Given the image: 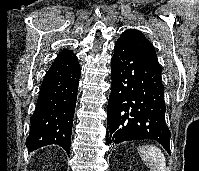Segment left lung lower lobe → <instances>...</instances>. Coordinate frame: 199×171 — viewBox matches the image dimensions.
<instances>
[{"instance_id":"obj_1","label":"left lung lower lobe","mask_w":199,"mask_h":171,"mask_svg":"<svg viewBox=\"0 0 199 171\" xmlns=\"http://www.w3.org/2000/svg\"><path fill=\"white\" fill-rule=\"evenodd\" d=\"M114 49L107 145L153 139L170 154L161 67L121 41L117 40Z\"/></svg>"}]
</instances>
